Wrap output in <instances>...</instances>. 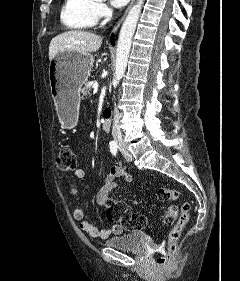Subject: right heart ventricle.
I'll return each mask as SVG.
<instances>
[{
	"label": "right heart ventricle",
	"mask_w": 240,
	"mask_h": 281,
	"mask_svg": "<svg viewBox=\"0 0 240 281\" xmlns=\"http://www.w3.org/2000/svg\"><path fill=\"white\" fill-rule=\"evenodd\" d=\"M96 0H64L60 20L68 30L79 31L92 28L97 22Z\"/></svg>",
	"instance_id": "1"
}]
</instances>
